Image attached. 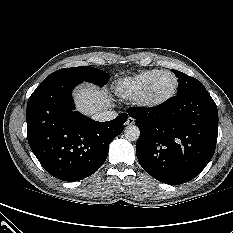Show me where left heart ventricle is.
Wrapping results in <instances>:
<instances>
[{
	"label": "left heart ventricle",
	"mask_w": 233,
	"mask_h": 233,
	"mask_svg": "<svg viewBox=\"0 0 233 233\" xmlns=\"http://www.w3.org/2000/svg\"><path fill=\"white\" fill-rule=\"evenodd\" d=\"M175 81L174 78L169 74H163L161 75L156 82L154 83L152 89H151V97L152 98H162L166 95H168L173 87H174Z\"/></svg>",
	"instance_id": "1"
}]
</instances>
